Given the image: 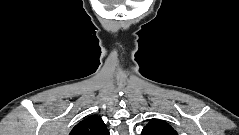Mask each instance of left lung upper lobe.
Listing matches in <instances>:
<instances>
[{"mask_svg": "<svg viewBox=\"0 0 239 135\" xmlns=\"http://www.w3.org/2000/svg\"><path fill=\"white\" fill-rule=\"evenodd\" d=\"M142 135H178L177 132L165 121L151 119L143 128Z\"/></svg>", "mask_w": 239, "mask_h": 135, "instance_id": "1", "label": "left lung upper lobe"}]
</instances>
